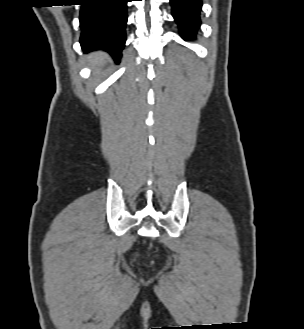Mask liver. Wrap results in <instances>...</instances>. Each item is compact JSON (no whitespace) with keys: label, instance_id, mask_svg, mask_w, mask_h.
Wrapping results in <instances>:
<instances>
[{"label":"liver","instance_id":"liver-1","mask_svg":"<svg viewBox=\"0 0 304 329\" xmlns=\"http://www.w3.org/2000/svg\"><path fill=\"white\" fill-rule=\"evenodd\" d=\"M107 62V56L103 52H96L89 55V64L93 68V73L98 75Z\"/></svg>","mask_w":304,"mask_h":329}]
</instances>
